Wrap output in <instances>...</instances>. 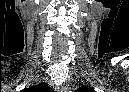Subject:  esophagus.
<instances>
[{"label": "esophagus", "instance_id": "obj_1", "mask_svg": "<svg viewBox=\"0 0 129 92\" xmlns=\"http://www.w3.org/2000/svg\"><path fill=\"white\" fill-rule=\"evenodd\" d=\"M62 91H63V92H66V88H65V87H62Z\"/></svg>", "mask_w": 129, "mask_h": 92}]
</instances>
